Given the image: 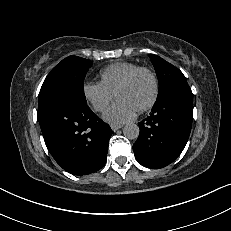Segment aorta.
<instances>
[{"label": "aorta", "mask_w": 231, "mask_h": 231, "mask_svg": "<svg viewBox=\"0 0 231 231\" xmlns=\"http://www.w3.org/2000/svg\"><path fill=\"white\" fill-rule=\"evenodd\" d=\"M139 132V127L135 123H128L123 128L124 136L130 140L137 139L139 136Z\"/></svg>", "instance_id": "obj_1"}]
</instances>
